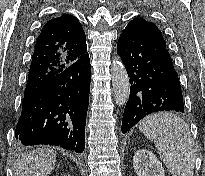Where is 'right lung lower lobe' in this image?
I'll use <instances>...</instances> for the list:
<instances>
[{"mask_svg":"<svg viewBox=\"0 0 205 176\" xmlns=\"http://www.w3.org/2000/svg\"><path fill=\"white\" fill-rule=\"evenodd\" d=\"M91 69L88 53L24 94L15 136L19 144L55 145L81 153Z\"/></svg>","mask_w":205,"mask_h":176,"instance_id":"1","label":"right lung lower lobe"}]
</instances>
